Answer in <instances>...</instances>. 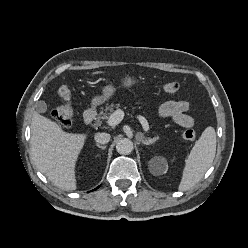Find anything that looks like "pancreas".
<instances>
[{
  "instance_id": "pancreas-1",
  "label": "pancreas",
  "mask_w": 248,
  "mask_h": 248,
  "mask_svg": "<svg viewBox=\"0 0 248 248\" xmlns=\"http://www.w3.org/2000/svg\"><path fill=\"white\" fill-rule=\"evenodd\" d=\"M115 105L114 104H110V105H106L104 111L105 112H101L100 116L97 118L96 122H95V126H99L102 123V120L108 119L110 113L109 112H113V107ZM118 107V104L116 105Z\"/></svg>"
}]
</instances>
